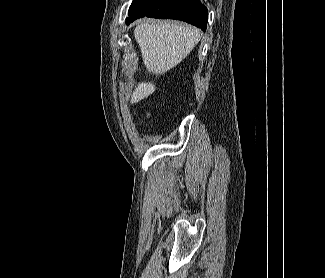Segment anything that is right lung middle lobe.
<instances>
[{"mask_svg": "<svg viewBox=\"0 0 325 278\" xmlns=\"http://www.w3.org/2000/svg\"><path fill=\"white\" fill-rule=\"evenodd\" d=\"M135 1H136V0H133L131 6H130V8H129L128 14H129L130 16H131V14L133 13V5H134Z\"/></svg>", "mask_w": 325, "mask_h": 278, "instance_id": "obj_1", "label": "right lung middle lobe"}]
</instances>
